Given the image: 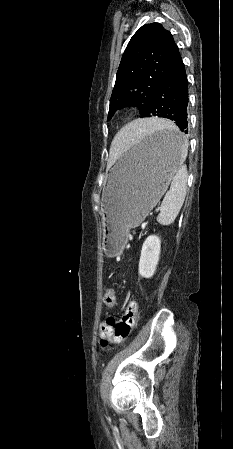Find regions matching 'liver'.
I'll return each instance as SVG.
<instances>
[{"instance_id":"1","label":"liver","mask_w":233,"mask_h":449,"mask_svg":"<svg viewBox=\"0 0 233 449\" xmlns=\"http://www.w3.org/2000/svg\"><path fill=\"white\" fill-rule=\"evenodd\" d=\"M172 123L163 119L151 118L141 119L126 125L120 132L113 133L111 144V157L116 159L124 146L132 142V136H139L148 133L157 125L170 126Z\"/></svg>"}]
</instances>
